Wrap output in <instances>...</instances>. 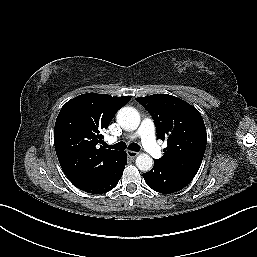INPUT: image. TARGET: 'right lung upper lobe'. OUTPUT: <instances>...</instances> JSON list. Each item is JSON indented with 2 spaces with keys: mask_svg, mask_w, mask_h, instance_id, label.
<instances>
[{
  "mask_svg": "<svg viewBox=\"0 0 257 257\" xmlns=\"http://www.w3.org/2000/svg\"><path fill=\"white\" fill-rule=\"evenodd\" d=\"M131 96L79 95L61 108L54 128V145L61 168L72 183L84 182L104 173L120 151L98 148L115 113Z\"/></svg>",
  "mask_w": 257,
  "mask_h": 257,
  "instance_id": "1",
  "label": "right lung upper lobe"
}]
</instances>
